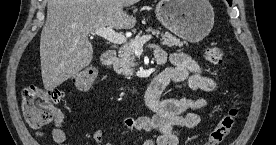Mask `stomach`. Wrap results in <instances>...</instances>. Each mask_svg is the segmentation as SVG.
Here are the masks:
<instances>
[{"label": "stomach", "instance_id": "0dacf381", "mask_svg": "<svg viewBox=\"0 0 276 145\" xmlns=\"http://www.w3.org/2000/svg\"><path fill=\"white\" fill-rule=\"evenodd\" d=\"M155 14L168 30L193 43L202 41L214 25V11L208 0H161Z\"/></svg>", "mask_w": 276, "mask_h": 145}]
</instances>
